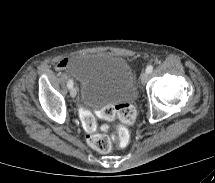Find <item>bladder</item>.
<instances>
[{
    "mask_svg": "<svg viewBox=\"0 0 215 183\" xmlns=\"http://www.w3.org/2000/svg\"><path fill=\"white\" fill-rule=\"evenodd\" d=\"M69 69L81 82L80 101L86 108L133 100L137 87L133 70L122 56L85 52L72 58Z\"/></svg>",
    "mask_w": 215,
    "mask_h": 183,
    "instance_id": "obj_1",
    "label": "bladder"
}]
</instances>
